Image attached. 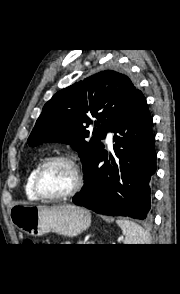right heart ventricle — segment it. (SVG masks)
<instances>
[{
	"label": "right heart ventricle",
	"mask_w": 180,
	"mask_h": 294,
	"mask_svg": "<svg viewBox=\"0 0 180 294\" xmlns=\"http://www.w3.org/2000/svg\"><path fill=\"white\" fill-rule=\"evenodd\" d=\"M41 165L40 164H37L28 174L27 178H26V181H25V193L28 195V196H31V197H34L36 198V194L33 190V178H34V175H35V172L37 171V169L39 168V166Z\"/></svg>",
	"instance_id": "obj_1"
}]
</instances>
